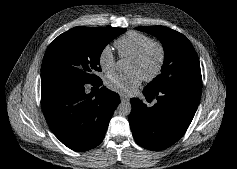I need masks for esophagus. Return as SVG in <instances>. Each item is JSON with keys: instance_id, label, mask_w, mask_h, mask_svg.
I'll return each mask as SVG.
<instances>
[{"instance_id": "esophagus-1", "label": "esophagus", "mask_w": 237, "mask_h": 169, "mask_svg": "<svg viewBox=\"0 0 237 169\" xmlns=\"http://www.w3.org/2000/svg\"><path fill=\"white\" fill-rule=\"evenodd\" d=\"M120 99H121V101L122 102H129L130 101V99L128 98V97H125V96H120Z\"/></svg>"}]
</instances>
